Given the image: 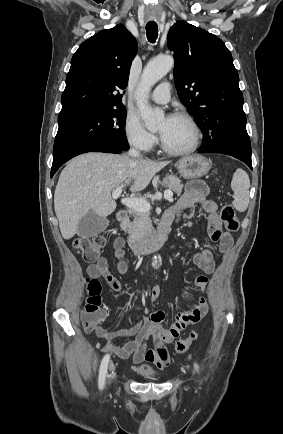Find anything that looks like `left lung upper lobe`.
Listing matches in <instances>:
<instances>
[{
	"label": "left lung upper lobe",
	"instance_id": "1",
	"mask_svg": "<svg viewBox=\"0 0 283 434\" xmlns=\"http://www.w3.org/2000/svg\"><path fill=\"white\" fill-rule=\"evenodd\" d=\"M174 52V79L178 97L195 117L203 133L202 149L251 157L243 95L233 58L217 36L185 21L168 33Z\"/></svg>",
	"mask_w": 283,
	"mask_h": 434
}]
</instances>
